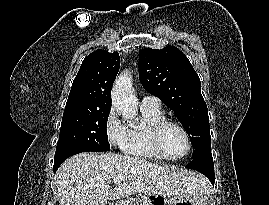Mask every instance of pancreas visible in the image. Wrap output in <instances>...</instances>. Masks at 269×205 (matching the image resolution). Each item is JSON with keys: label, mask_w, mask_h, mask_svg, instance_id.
I'll use <instances>...</instances> for the list:
<instances>
[{"label": "pancreas", "mask_w": 269, "mask_h": 205, "mask_svg": "<svg viewBox=\"0 0 269 205\" xmlns=\"http://www.w3.org/2000/svg\"><path fill=\"white\" fill-rule=\"evenodd\" d=\"M128 201L131 203V205H133V203L135 202L134 199H129Z\"/></svg>", "instance_id": "1"}]
</instances>
